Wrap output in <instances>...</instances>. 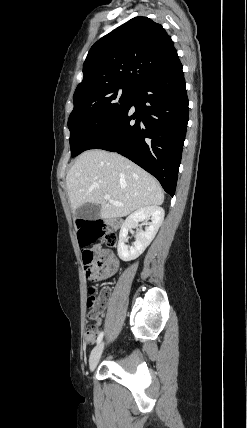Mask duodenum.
<instances>
[{
  "instance_id": "duodenum-1",
  "label": "duodenum",
  "mask_w": 247,
  "mask_h": 428,
  "mask_svg": "<svg viewBox=\"0 0 247 428\" xmlns=\"http://www.w3.org/2000/svg\"><path fill=\"white\" fill-rule=\"evenodd\" d=\"M109 222L112 226H114L116 228L120 227L122 224L121 220L117 219V218L111 219Z\"/></svg>"
}]
</instances>
